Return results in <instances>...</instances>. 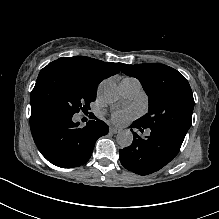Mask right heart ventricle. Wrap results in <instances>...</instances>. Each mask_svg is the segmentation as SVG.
<instances>
[{
    "instance_id": "1",
    "label": "right heart ventricle",
    "mask_w": 219,
    "mask_h": 219,
    "mask_svg": "<svg viewBox=\"0 0 219 219\" xmlns=\"http://www.w3.org/2000/svg\"><path fill=\"white\" fill-rule=\"evenodd\" d=\"M124 79H135V78L126 77V78H124ZM124 79H123V80H124ZM135 80H136V79H135Z\"/></svg>"
}]
</instances>
